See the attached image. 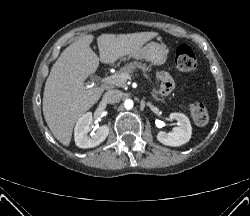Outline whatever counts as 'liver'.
I'll list each match as a JSON object with an SVG mask.
<instances>
[{"label":"liver","mask_w":250,"mask_h":216,"mask_svg":"<svg viewBox=\"0 0 250 216\" xmlns=\"http://www.w3.org/2000/svg\"><path fill=\"white\" fill-rule=\"evenodd\" d=\"M158 36L156 32L102 34L97 38L100 58L86 35L70 44L51 68L43 94V114L55 138L69 146L76 121L101 97L102 87L88 88L84 81L103 64H114Z\"/></svg>","instance_id":"6515ba94"}]
</instances>
